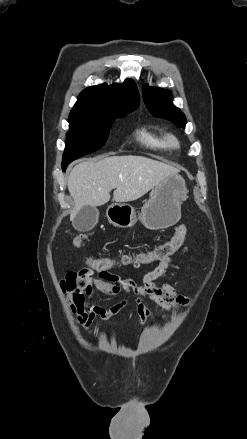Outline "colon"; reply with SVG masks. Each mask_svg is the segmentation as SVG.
Instances as JSON below:
<instances>
[{"mask_svg": "<svg viewBox=\"0 0 247 439\" xmlns=\"http://www.w3.org/2000/svg\"><path fill=\"white\" fill-rule=\"evenodd\" d=\"M187 233V228L184 224L179 225L173 236L165 243L156 246L154 249L137 253L135 255H125L120 259H115L112 257H86L85 263L87 268L91 269L94 272H104L110 270L117 265H144L150 264L156 261H164L169 259L174 253H176L179 248L184 243L185 237ZM88 239V235L85 233H80L75 236L73 239V245L76 248L81 247L84 242Z\"/></svg>", "mask_w": 247, "mask_h": 439, "instance_id": "1", "label": "colon"}]
</instances>
